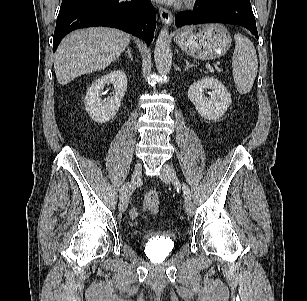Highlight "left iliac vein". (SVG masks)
<instances>
[{"instance_id": "4c4485c4", "label": "left iliac vein", "mask_w": 307, "mask_h": 301, "mask_svg": "<svg viewBox=\"0 0 307 301\" xmlns=\"http://www.w3.org/2000/svg\"><path fill=\"white\" fill-rule=\"evenodd\" d=\"M159 177L165 183H173L175 185L179 184L176 177V172L169 164H164L162 166ZM185 210L188 215H192L194 213V204L192 203L191 199L185 200Z\"/></svg>"}]
</instances>
